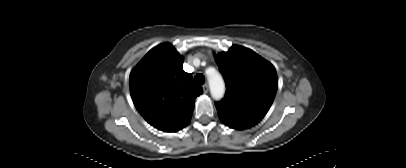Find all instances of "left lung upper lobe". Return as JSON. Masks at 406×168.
<instances>
[{
    "mask_svg": "<svg viewBox=\"0 0 406 168\" xmlns=\"http://www.w3.org/2000/svg\"><path fill=\"white\" fill-rule=\"evenodd\" d=\"M226 82L218 114L258 123L268 112L278 87L274 66L252 50L234 45L215 55Z\"/></svg>",
    "mask_w": 406,
    "mask_h": 168,
    "instance_id": "5c2ea615",
    "label": "left lung upper lobe"
}]
</instances>
